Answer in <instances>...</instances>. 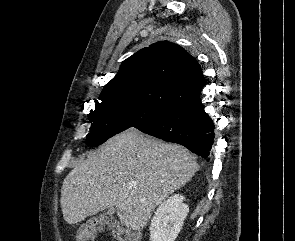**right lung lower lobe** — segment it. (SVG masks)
<instances>
[{
    "mask_svg": "<svg viewBox=\"0 0 295 241\" xmlns=\"http://www.w3.org/2000/svg\"><path fill=\"white\" fill-rule=\"evenodd\" d=\"M141 132L181 144L207 159L214 140V124L200 97L165 110L155 120L137 128Z\"/></svg>",
    "mask_w": 295,
    "mask_h": 241,
    "instance_id": "98d812e1",
    "label": "right lung lower lobe"
}]
</instances>
